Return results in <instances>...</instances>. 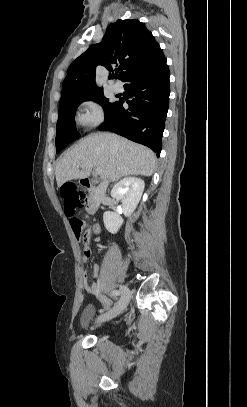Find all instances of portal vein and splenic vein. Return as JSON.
Returning <instances> with one entry per match:
<instances>
[{
  "instance_id": "1",
  "label": "portal vein and splenic vein",
  "mask_w": 247,
  "mask_h": 407,
  "mask_svg": "<svg viewBox=\"0 0 247 407\" xmlns=\"http://www.w3.org/2000/svg\"><path fill=\"white\" fill-rule=\"evenodd\" d=\"M100 173H101L100 169H96V170H95V174H96V175H98V174H100Z\"/></svg>"
}]
</instances>
